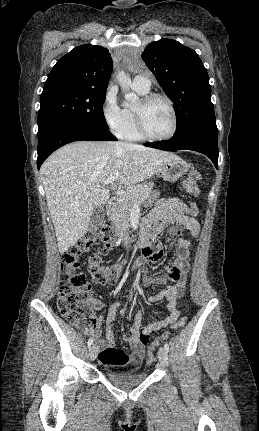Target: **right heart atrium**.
<instances>
[{
	"instance_id": "d8ad5b80",
	"label": "right heart atrium",
	"mask_w": 259,
	"mask_h": 431,
	"mask_svg": "<svg viewBox=\"0 0 259 431\" xmlns=\"http://www.w3.org/2000/svg\"><path fill=\"white\" fill-rule=\"evenodd\" d=\"M101 113L108 128L118 134L126 122V112L118 100L115 86L108 87L101 105Z\"/></svg>"
}]
</instances>
